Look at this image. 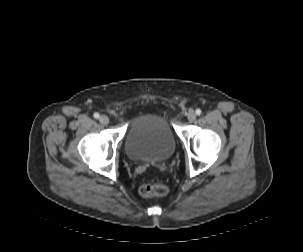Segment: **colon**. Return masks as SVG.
<instances>
[{
	"label": "colon",
	"instance_id": "1",
	"mask_svg": "<svg viewBox=\"0 0 303 252\" xmlns=\"http://www.w3.org/2000/svg\"><path fill=\"white\" fill-rule=\"evenodd\" d=\"M140 192L145 197H162L168 193V186L162 183L144 184Z\"/></svg>",
	"mask_w": 303,
	"mask_h": 252
}]
</instances>
